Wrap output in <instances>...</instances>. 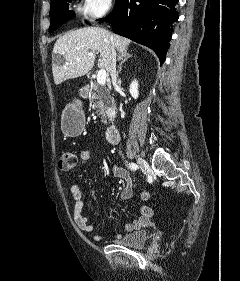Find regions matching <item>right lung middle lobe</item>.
Instances as JSON below:
<instances>
[{
	"label": "right lung middle lobe",
	"instance_id": "1",
	"mask_svg": "<svg viewBox=\"0 0 240 281\" xmlns=\"http://www.w3.org/2000/svg\"><path fill=\"white\" fill-rule=\"evenodd\" d=\"M72 0H51L49 32H54L63 23L72 17L73 12L68 11V3Z\"/></svg>",
	"mask_w": 240,
	"mask_h": 281
}]
</instances>
